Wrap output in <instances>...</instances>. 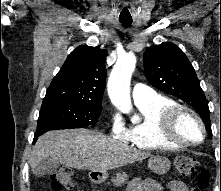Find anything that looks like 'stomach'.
Instances as JSON below:
<instances>
[{
	"label": "stomach",
	"mask_w": 221,
	"mask_h": 191,
	"mask_svg": "<svg viewBox=\"0 0 221 191\" xmlns=\"http://www.w3.org/2000/svg\"><path fill=\"white\" fill-rule=\"evenodd\" d=\"M171 162L168 158L163 156H152L148 160L149 169L159 175L166 174L170 169ZM95 180L98 182H104L108 178L107 171H92Z\"/></svg>",
	"instance_id": "stomach-1"
}]
</instances>
